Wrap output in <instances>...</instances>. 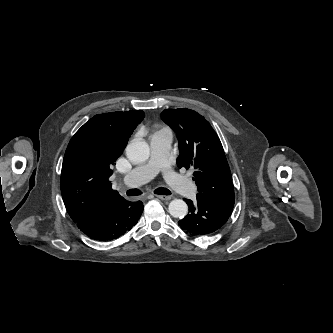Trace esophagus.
<instances>
[{"mask_svg":"<svg viewBox=\"0 0 333 333\" xmlns=\"http://www.w3.org/2000/svg\"><path fill=\"white\" fill-rule=\"evenodd\" d=\"M155 196L164 201H168L171 199V196H166V195H155Z\"/></svg>","mask_w":333,"mask_h":333,"instance_id":"esophagus-1","label":"esophagus"}]
</instances>
